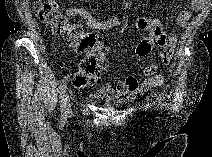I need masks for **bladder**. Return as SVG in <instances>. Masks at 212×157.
Instances as JSON below:
<instances>
[{"mask_svg":"<svg viewBox=\"0 0 212 157\" xmlns=\"http://www.w3.org/2000/svg\"><path fill=\"white\" fill-rule=\"evenodd\" d=\"M126 100L121 98H112L107 100L104 105L110 108H120L126 104Z\"/></svg>","mask_w":212,"mask_h":157,"instance_id":"bladder-1","label":"bladder"}]
</instances>
